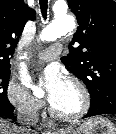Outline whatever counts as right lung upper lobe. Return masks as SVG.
Wrapping results in <instances>:
<instances>
[{
    "mask_svg": "<svg viewBox=\"0 0 116 134\" xmlns=\"http://www.w3.org/2000/svg\"><path fill=\"white\" fill-rule=\"evenodd\" d=\"M28 19H35V11L24 0H0V70L11 67L10 58Z\"/></svg>",
    "mask_w": 116,
    "mask_h": 134,
    "instance_id": "right-lung-upper-lobe-1",
    "label": "right lung upper lobe"
}]
</instances>
